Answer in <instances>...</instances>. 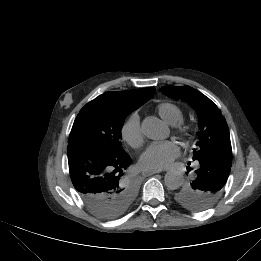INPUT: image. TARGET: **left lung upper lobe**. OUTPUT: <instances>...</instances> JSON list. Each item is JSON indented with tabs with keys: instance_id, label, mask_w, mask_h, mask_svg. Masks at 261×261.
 Returning a JSON list of instances; mask_svg holds the SVG:
<instances>
[{
	"instance_id": "obj_1",
	"label": "left lung upper lobe",
	"mask_w": 261,
	"mask_h": 261,
	"mask_svg": "<svg viewBox=\"0 0 261 261\" xmlns=\"http://www.w3.org/2000/svg\"><path fill=\"white\" fill-rule=\"evenodd\" d=\"M161 92L175 99L189 103L199 116L197 147L193 149V160L213 163L219 167L232 164V149L229 129L217 106L205 95L190 86H164ZM203 159V160H202ZM227 179L208 178L206 181H192L178 188L175 200L187 209L202 211L211 207L223 192ZM206 182V183H204ZM209 188L204 190V188Z\"/></svg>"
}]
</instances>
